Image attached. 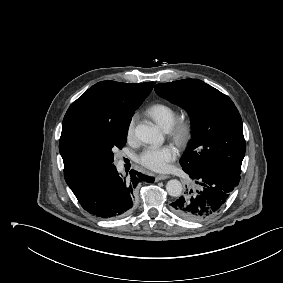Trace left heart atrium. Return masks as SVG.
<instances>
[{"label":"left heart atrium","instance_id":"1","mask_svg":"<svg viewBox=\"0 0 283 283\" xmlns=\"http://www.w3.org/2000/svg\"><path fill=\"white\" fill-rule=\"evenodd\" d=\"M177 149L173 145L150 146L139 155L138 161L153 171H165L176 159Z\"/></svg>","mask_w":283,"mask_h":283}]
</instances>
